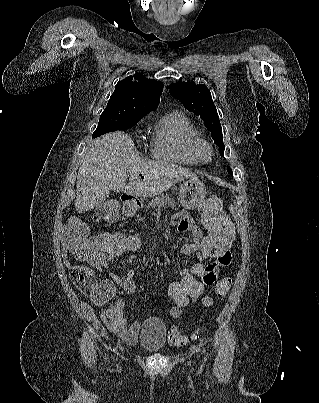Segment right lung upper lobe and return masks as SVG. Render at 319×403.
Returning a JSON list of instances; mask_svg holds the SVG:
<instances>
[{
    "mask_svg": "<svg viewBox=\"0 0 319 403\" xmlns=\"http://www.w3.org/2000/svg\"><path fill=\"white\" fill-rule=\"evenodd\" d=\"M163 83L150 80L141 74H134L119 81L107 106L127 108L135 113L146 115L160 102Z\"/></svg>",
    "mask_w": 319,
    "mask_h": 403,
    "instance_id": "cb5924a9",
    "label": "right lung upper lobe"
}]
</instances>
